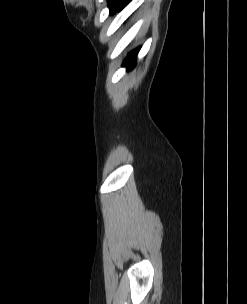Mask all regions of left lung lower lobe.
<instances>
[{"mask_svg":"<svg viewBox=\"0 0 247 304\" xmlns=\"http://www.w3.org/2000/svg\"><path fill=\"white\" fill-rule=\"evenodd\" d=\"M131 0H108V7L110 9V14H114L117 11L122 10ZM140 47L133 50L128 57L123 62V66H126L128 70L132 69L136 62V56Z\"/></svg>","mask_w":247,"mask_h":304,"instance_id":"1","label":"left lung lower lobe"}]
</instances>
